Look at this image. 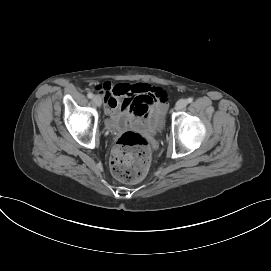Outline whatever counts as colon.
Instances as JSON below:
<instances>
[{"label":"colon","instance_id":"obj_1","mask_svg":"<svg viewBox=\"0 0 271 271\" xmlns=\"http://www.w3.org/2000/svg\"><path fill=\"white\" fill-rule=\"evenodd\" d=\"M151 164L148 141L141 134L125 132L118 139L110 159L112 174L126 183H136L147 174Z\"/></svg>","mask_w":271,"mask_h":271}]
</instances>
